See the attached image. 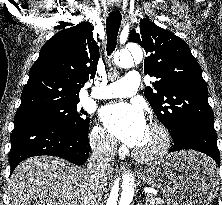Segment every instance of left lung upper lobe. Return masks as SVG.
I'll return each mask as SVG.
<instances>
[{"label": "left lung upper lobe", "mask_w": 222, "mask_h": 205, "mask_svg": "<svg viewBox=\"0 0 222 205\" xmlns=\"http://www.w3.org/2000/svg\"><path fill=\"white\" fill-rule=\"evenodd\" d=\"M129 41L146 51L145 74L157 80L144 95L172 138L189 126L214 127L207 85L187 43L147 18L140 21V30L130 32Z\"/></svg>", "instance_id": "left-lung-upper-lobe-1"}]
</instances>
